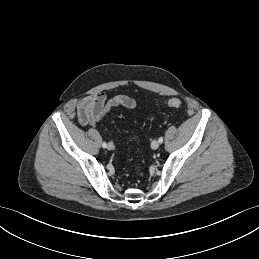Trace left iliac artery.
Masks as SVG:
<instances>
[{
    "label": "left iliac artery",
    "instance_id": "left-iliac-artery-1",
    "mask_svg": "<svg viewBox=\"0 0 259 259\" xmlns=\"http://www.w3.org/2000/svg\"><path fill=\"white\" fill-rule=\"evenodd\" d=\"M158 141H159V143H162V142H163V137H160V138L158 139Z\"/></svg>",
    "mask_w": 259,
    "mask_h": 259
}]
</instances>
